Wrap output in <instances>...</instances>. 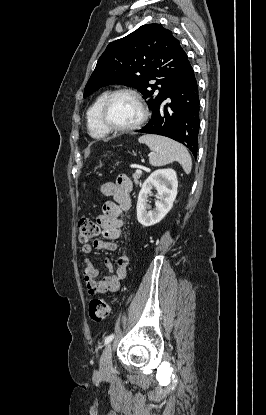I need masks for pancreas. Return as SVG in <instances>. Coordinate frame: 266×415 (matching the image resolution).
<instances>
[{"label":"pancreas","mask_w":266,"mask_h":415,"mask_svg":"<svg viewBox=\"0 0 266 415\" xmlns=\"http://www.w3.org/2000/svg\"><path fill=\"white\" fill-rule=\"evenodd\" d=\"M141 175H142V173H139V174L135 173V174H133L132 177H133V181H134L135 184H139V179H140Z\"/></svg>","instance_id":"pancreas-1"}]
</instances>
